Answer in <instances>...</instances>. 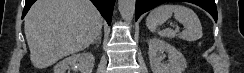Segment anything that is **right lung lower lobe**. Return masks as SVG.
<instances>
[{
  "instance_id": "98d812e1",
  "label": "right lung lower lobe",
  "mask_w": 244,
  "mask_h": 73,
  "mask_svg": "<svg viewBox=\"0 0 244 73\" xmlns=\"http://www.w3.org/2000/svg\"><path fill=\"white\" fill-rule=\"evenodd\" d=\"M36 0H25V7L23 10L22 18L26 15L32 4ZM92 3L97 7V9L100 11L102 16L106 19L107 23L110 25L111 23V17L113 13V7L115 0H90Z\"/></svg>"
}]
</instances>
